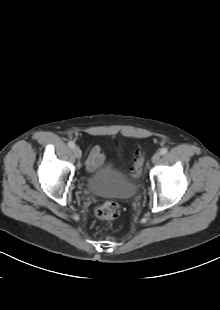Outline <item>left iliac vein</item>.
<instances>
[{"label": "left iliac vein", "mask_w": 220, "mask_h": 310, "mask_svg": "<svg viewBox=\"0 0 220 310\" xmlns=\"http://www.w3.org/2000/svg\"><path fill=\"white\" fill-rule=\"evenodd\" d=\"M161 158V153L160 152H156L153 156H152V163L156 164L159 162Z\"/></svg>", "instance_id": "4c4485c4"}]
</instances>
